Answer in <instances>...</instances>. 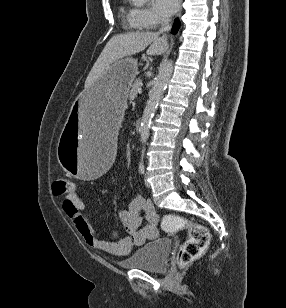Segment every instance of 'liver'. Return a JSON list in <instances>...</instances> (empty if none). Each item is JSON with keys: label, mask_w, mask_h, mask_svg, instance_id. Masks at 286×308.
<instances>
[{"label": "liver", "mask_w": 286, "mask_h": 308, "mask_svg": "<svg viewBox=\"0 0 286 308\" xmlns=\"http://www.w3.org/2000/svg\"><path fill=\"white\" fill-rule=\"evenodd\" d=\"M148 47L147 55H161L168 50V41L165 36L160 37L153 32H130L113 36L85 81V89H88L97 79L111 68V66L124 57L135 55Z\"/></svg>", "instance_id": "liver-1"}]
</instances>
